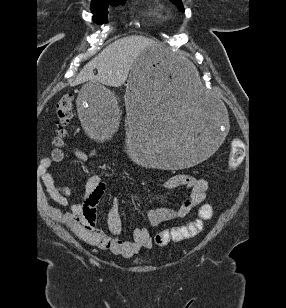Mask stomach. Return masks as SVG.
I'll list each match as a JSON object with an SVG mask.
<instances>
[{
    "label": "stomach",
    "instance_id": "1",
    "mask_svg": "<svg viewBox=\"0 0 286 308\" xmlns=\"http://www.w3.org/2000/svg\"><path fill=\"white\" fill-rule=\"evenodd\" d=\"M201 78L184 51L148 47L138 56L125 93L128 125L135 130L129 159L148 164L152 173H177L204 164L219 144H227L224 100ZM75 104L79 124L93 129L89 137L106 142L108 133H125L122 105L110 85H83Z\"/></svg>",
    "mask_w": 286,
    "mask_h": 308
}]
</instances>
